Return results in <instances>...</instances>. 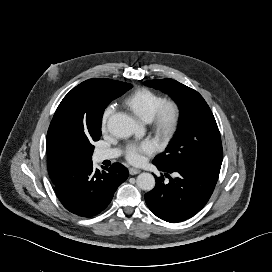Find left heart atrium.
Here are the masks:
<instances>
[{"label":"left heart atrium","mask_w":272,"mask_h":272,"mask_svg":"<svg viewBox=\"0 0 272 272\" xmlns=\"http://www.w3.org/2000/svg\"><path fill=\"white\" fill-rule=\"evenodd\" d=\"M153 151V146L150 143H142L139 145H130L126 151V158L129 162L137 164L142 162L143 155Z\"/></svg>","instance_id":"39dd6f15"}]
</instances>
